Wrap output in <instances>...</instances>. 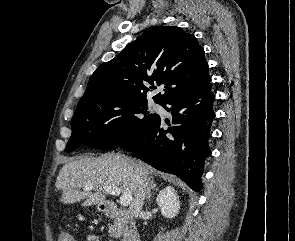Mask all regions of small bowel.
<instances>
[{
	"label": "small bowel",
	"instance_id": "obj_1",
	"mask_svg": "<svg viewBox=\"0 0 295 241\" xmlns=\"http://www.w3.org/2000/svg\"><path fill=\"white\" fill-rule=\"evenodd\" d=\"M85 241H99V238L96 236L88 235L85 237Z\"/></svg>",
	"mask_w": 295,
	"mask_h": 241
}]
</instances>
